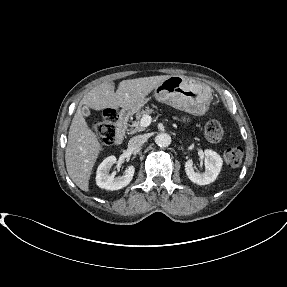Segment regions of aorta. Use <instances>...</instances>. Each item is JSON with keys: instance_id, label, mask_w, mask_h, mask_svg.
Instances as JSON below:
<instances>
[{"instance_id": "aorta-1", "label": "aorta", "mask_w": 287, "mask_h": 287, "mask_svg": "<svg viewBox=\"0 0 287 287\" xmlns=\"http://www.w3.org/2000/svg\"><path fill=\"white\" fill-rule=\"evenodd\" d=\"M155 142L160 147H168L171 144V137L167 133H160L156 136Z\"/></svg>"}]
</instances>
